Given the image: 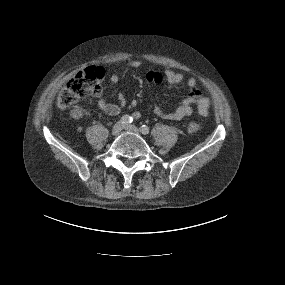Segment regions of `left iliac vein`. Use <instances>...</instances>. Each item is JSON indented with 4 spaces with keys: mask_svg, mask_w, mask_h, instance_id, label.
Listing matches in <instances>:
<instances>
[{
    "mask_svg": "<svg viewBox=\"0 0 285 285\" xmlns=\"http://www.w3.org/2000/svg\"><path fill=\"white\" fill-rule=\"evenodd\" d=\"M124 129H125L126 131H129V132L139 133L138 128L135 127L134 125L126 124V125L124 126Z\"/></svg>",
    "mask_w": 285,
    "mask_h": 285,
    "instance_id": "left-iliac-vein-1",
    "label": "left iliac vein"
}]
</instances>
